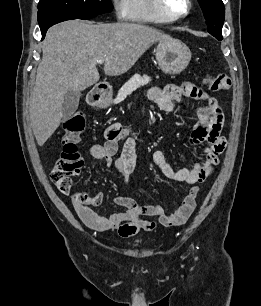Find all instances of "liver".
I'll return each mask as SVG.
<instances>
[{"label": "liver", "instance_id": "1", "mask_svg": "<svg viewBox=\"0 0 261 306\" xmlns=\"http://www.w3.org/2000/svg\"><path fill=\"white\" fill-rule=\"evenodd\" d=\"M167 34L135 23L92 24L70 20L53 26L42 43L30 99V119L39 146L51 137L62 119L63 99L69 91H83L99 81L97 60L104 73H126L149 47Z\"/></svg>", "mask_w": 261, "mask_h": 306}]
</instances>
